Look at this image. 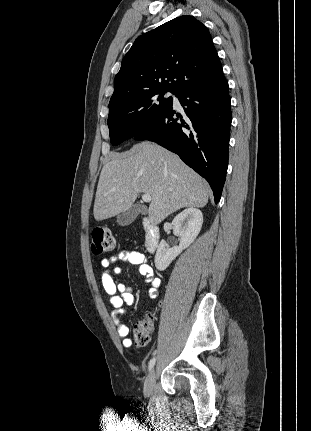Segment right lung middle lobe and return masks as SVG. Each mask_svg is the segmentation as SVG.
Listing matches in <instances>:
<instances>
[{"label":"right lung middle lobe","mask_w":311,"mask_h":431,"mask_svg":"<svg viewBox=\"0 0 311 431\" xmlns=\"http://www.w3.org/2000/svg\"><path fill=\"white\" fill-rule=\"evenodd\" d=\"M166 92L168 91L152 90L110 99L108 127L111 143L118 145L134 137L167 110L173 99L165 98Z\"/></svg>","instance_id":"dd1d6c3e"}]
</instances>
